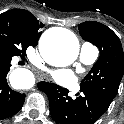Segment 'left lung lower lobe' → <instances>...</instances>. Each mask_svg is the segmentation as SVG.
Wrapping results in <instances>:
<instances>
[{"label": "left lung lower lobe", "mask_w": 124, "mask_h": 124, "mask_svg": "<svg viewBox=\"0 0 124 124\" xmlns=\"http://www.w3.org/2000/svg\"><path fill=\"white\" fill-rule=\"evenodd\" d=\"M38 88L48 96L50 114L57 124H94L108 109L98 98L85 92L72 99L66 88L53 83L40 82Z\"/></svg>", "instance_id": "obj_1"}]
</instances>
